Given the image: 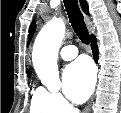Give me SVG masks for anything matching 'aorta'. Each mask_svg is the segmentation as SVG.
<instances>
[{
    "mask_svg": "<svg viewBox=\"0 0 121 113\" xmlns=\"http://www.w3.org/2000/svg\"><path fill=\"white\" fill-rule=\"evenodd\" d=\"M64 33V21L54 17L41 29L33 46L32 61L35 72L50 91L60 88L57 57Z\"/></svg>",
    "mask_w": 121,
    "mask_h": 113,
    "instance_id": "aorta-1",
    "label": "aorta"
}]
</instances>
